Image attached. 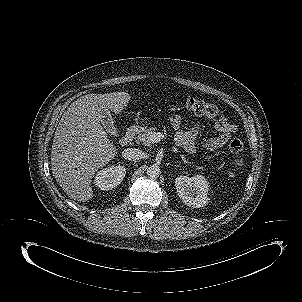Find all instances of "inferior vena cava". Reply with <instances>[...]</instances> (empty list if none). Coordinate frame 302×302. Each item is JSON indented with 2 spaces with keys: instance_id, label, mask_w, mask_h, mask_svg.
Returning a JSON list of instances; mask_svg holds the SVG:
<instances>
[{
  "instance_id": "602c4592",
  "label": "inferior vena cava",
  "mask_w": 302,
  "mask_h": 302,
  "mask_svg": "<svg viewBox=\"0 0 302 302\" xmlns=\"http://www.w3.org/2000/svg\"><path fill=\"white\" fill-rule=\"evenodd\" d=\"M123 157L131 161H138L145 157V153L136 148H127L123 151Z\"/></svg>"
}]
</instances>
